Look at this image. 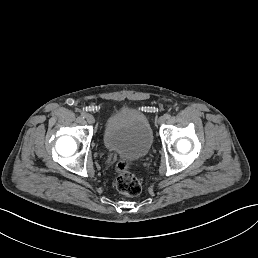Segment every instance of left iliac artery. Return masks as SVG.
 I'll return each mask as SVG.
<instances>
[{
	"label": "left iliac artery",
	"mask_w": 258,
	"mask_h": 258,
	"mask_svg": "<svg viewBox=\"0 0 258 258\" xmlns=\"http://www.w3.org/2000/svg\"><path fill=\"white\" fill-rule=\"evenodd\" d=\"M170 117H171V114H170V113H166V114H165V118H166V119H169Z\"/></svg>",
	"instance_id": "1"
}]
</instances>
